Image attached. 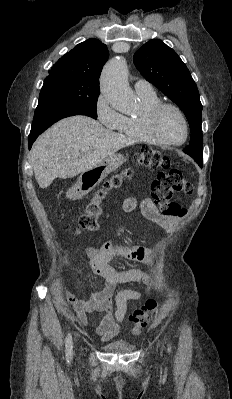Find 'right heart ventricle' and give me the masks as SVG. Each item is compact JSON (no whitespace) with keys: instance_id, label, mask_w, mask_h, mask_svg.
<instances>
[{"instance_id":"obj_1","label":"right heart ventricle","mask_w":232,"mask_h":399,"mask_svg":"<svg viewBox=\"0 0 232 399\" xmlns=\"http://www.w3.org/2000/svg\"><path fill=\"white\" fill-rule=\"evenodd\" d=\"M142 113L139 116H122L115 130L125 140L135 144H146L150 146L166 147L154 139L145 126L146 113L153 107L162 103L155 95H140Z\"/></svg>"}]
</instances>
